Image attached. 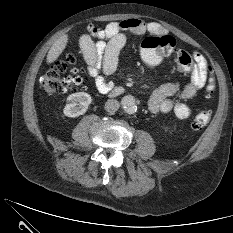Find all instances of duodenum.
Segmentation results:
<instances>
[{"mask_svg": "<svg viewBox=\"0 0 233 233\" xmlns=\"http://www.w3.org/2000/svg\"><path fill=\"white\" fill-rule=\"evenodd\" d=\"M121 93H122V91L120 88H116L111 92L112 96H118Z\"/></svg>", "mask_w": 233, "mask_h": 233, "instance_id": "410a0bca", "label": "duodenum"}]
</instances>
